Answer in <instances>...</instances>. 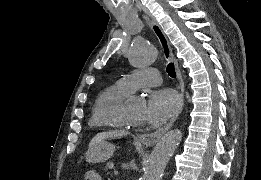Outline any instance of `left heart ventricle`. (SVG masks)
I'll return each mask as SVG.
<instances>
[{
  "label": "left heart ventricle",
  "mask_w": 261,
  "mask_h": 180,
  "mask_svg": "<svg viewBox=\"0 0 261 180\" xmlns=\"http://www.w3.org/2000/svg\"><path fill=\"white\" fill-rule=\"evenodd\" d=\"M133 98V96H128L126 100H130ZM144 100L141 99L137 103H133L130 105L125 104V109L122 114V119L128 124L138 126V127H144L148 124V121L143 116V110H144Z\"/></svg>",
  "instance_id": "1"
}]
</instances>
